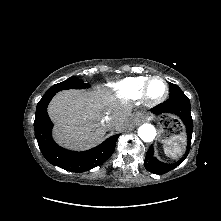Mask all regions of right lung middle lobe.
I'll list each match as a JSON object with an SVG mask.
<instances>
[{"mask_svg": "<svg viewBox=\"0 0 221 221\" xmlns=\"http://www.w3.org/2000/svg\"><path fill=\"white\" fill-rule=\"evenodd\" d=\"M88 87H90L88 83H84L76 77H70L61 83L53 85L45 94L57 93L66 89H84Z\"/></svg>", "mask_w": 221, "mask_h": 221, "instance_id": "dd1d6c3e", "label": "right lung middle lobe"}]
</instances>
